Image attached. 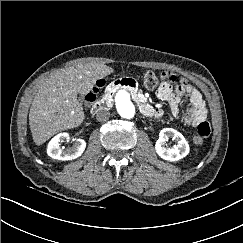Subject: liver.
<instances>
[{"label":"liver","instance_id":"1","mask_svg":"<svg viewBox=\"0 0 243 243\" xmlns=\"http://www.w3.org/2000/svg\"><path fill=\"white\" fill-rule=\"evenodd\" d=\"M114 72L102 63H85L62 69L46 78L38 88L29 112L33 141L42 145L54 134L78 127L84 120L77 95H86L98 79Z\"/></svg>","mask_w":243,"mask_h":243}]
</instances>
